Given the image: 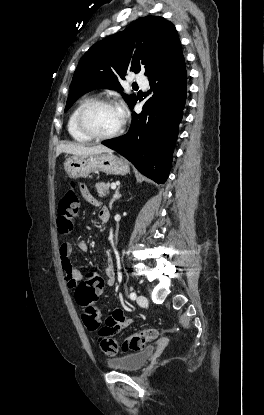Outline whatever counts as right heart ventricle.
Returning a JSON list of instances; mask_svg holds the SVG:
<instances>
[{
	"label": "right heart ventricle",
	"mask_w": 264,
	"mask_h": 415,
	"mask_svg": "<svg viewBox=\"0 0 264 415\" xmlns=\"http://www.w3.org/2000/svg\"><path fill=\"white\" fill-rule=\"evenodd\" d=\"M95 100L93 96H87L82 98L74 107V109L71 111L68 121H67V130L69 135L77 142L79 143H87L91 141L90 138L86 137L84 134H82L79 129L77 128L76 124V118L79 110L87 103Z\"/></svg>",
	"instance_id": "right-heart-ventricle-1"
}]
</instances>
